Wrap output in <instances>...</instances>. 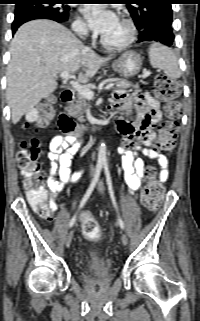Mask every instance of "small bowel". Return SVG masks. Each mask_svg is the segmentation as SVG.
I'll return each mask as SVG.
<instances>
[{
  "label": "small bowel",
  "instance_id": "1",
  "mask_svg": "<svg viewBox=\"0 0 200 321\" xmlns=\"http://www.w3.org/2000/svg\"><path fill=\"white\" fill-rule=\"evenodd\" d=\"M111 110L119 113L115 124L123 137L122 167L130 190H138L145 180L143 158L154 161L160 170V180H167L168 158L153 147L154 129L162 118L158 101L148 93L136 91L128 95L125 91L119 90L112 95ZM79 147L78 136L70 133L65 136L57 135L50 142L47 157L51 165L45 183L48 205L52 213L57 209L56 199L59 194L74 181L71 171L72 158Z\"/></svg>",
  "mask_w": 200,
  "mask_h": 321
}]
</instances>
